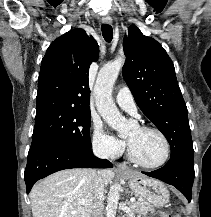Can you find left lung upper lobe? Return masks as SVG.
<instances>
[{
  "mask_svg": "<svg viewBox=\"0 0 211 217\" xmlns=\"http://www.w3.org/2000/svg\"><path fill=\"white\" fill-rule=\"evenodd\" d=\"M124 54V80L139 108L168 140L171 158H194L187 107L165 49L131 25Z\"/></svg>",
  "mask_w": 211,
  "mask_h": 217,
  "instance_id": "obj_1",
  "label": "left lung upper lobe"
}]
</instances>
